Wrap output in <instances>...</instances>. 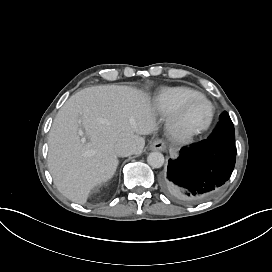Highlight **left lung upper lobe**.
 Wrapping results in <instances>:
<instances>
[{
  "instance_id": "left-lung-upper-lobe-1",
  "label": "left lung upper lobe",
  "mask_w": 272,
  "mask_h": 272,
  "mask_svg": "<svg viewBox=\"0 0 272 272\" xmlns=\"http://www.w3.org/2000/svg\"><path fill=\"white\" fill-rule=\"evenodd\" d=\"M208 140L235 145L234 126L227 112L220 115L219 123Z\"/></svg>"
}]
</instances>
